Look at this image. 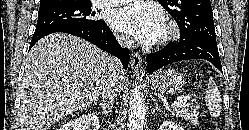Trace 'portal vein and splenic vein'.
<instances>
[{"label": "portal vein and splenic vein", "mask_w": 249, "mask_h": 130, "mask_svg": "<svg viewBox=\"0 0 249 130\" xmlns=\"http://www.w3.org/2000/svg\"><path fill=\"white\" fill-rule=\"evenodd\" d=\"M186 103H187V99L179 100V101L175 102L174 104H172L171 107L172 108L183 107L184 105H186Z\"/></svg>", "instance_id": "18ae733b"}]
</instances>
